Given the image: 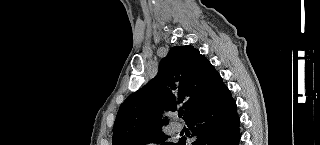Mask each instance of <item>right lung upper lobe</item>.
<instances>
[{
    "mask_svg": "<svg viewBox=\"0 0 320 145\" xmlns=\"http://www.w3.org/2000/svg\"><path fill=\"white\" fill-rule=\"evenodd\" d=\"M219 76L199 50L190 45L174 46L161 60L157 76L119 108L112 145H132L161 130L162 124H168V120H161V115L175 111L179 104H183L187 121L206 106Z\"/></svg>",
    "mask_w": 320,
    "mask_h": 145,
    "instance_id": "right-lung-upper-lobe-1",
    "label": "right lung upper lobe"
}]
</instances>
